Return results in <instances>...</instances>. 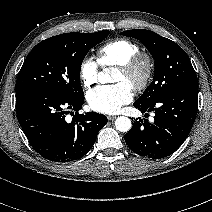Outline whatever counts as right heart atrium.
Masks as SVG:
<instances>
[{"label":"right heart atrium","mask_w":212,"mask_h":212,"mask_svg":"<svg viewBox=\"0 0 212 212\" xmlns=\"http://www.w3.org/2000/svg\"><path fill=\"white\" fill-rule=\"evenodd\" d=\"M98 64L92 58H84L79 66V77L85 87H90L98 80Z\"/></svg>","instance_id":"right-heart-atrium-1"}]
</instances>
